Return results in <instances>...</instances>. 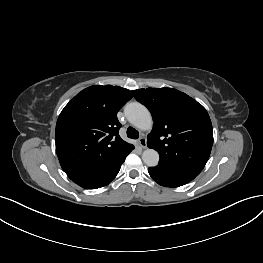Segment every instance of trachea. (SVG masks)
I'll return each instance as SVG.
<instances>
[{"instance_id":"1","label":"trachea","mask_w":263,"mask_h":263,"mask_svg":"<svg viewBox=\"0 0 263 263\" xmlns=\"http://www.w3.org/2000/svg\"><path fill=\"white\" fill-rule=\"evenodd\" d=\"M127 136L131 139H138L139 138V132L136 129L129 127L127 129Z\"/></svg>"}]
</instances>
